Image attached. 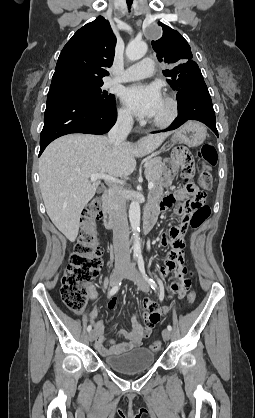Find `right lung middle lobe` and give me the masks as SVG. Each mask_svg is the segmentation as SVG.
Here are the masks:
<instances>
[{
	"label": "right lung middle lobe",
	"instance_id": "obj_1",
	"mask_svg": "<svg viewBox=\"0 0 255 418\" xmlns=\"http://www.w3.org/2000/svg\"><path fill=\"white\" fill-rule=\"evenodd\" d=\"M103 82H71L50 86L48 96L70 95L82 97L101 106H111L115 102L112 94L101 90Z\"/></svg>",
	"mask_w": 255,
	"mask_h": 418
}]
</instances>
